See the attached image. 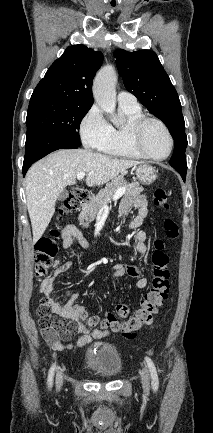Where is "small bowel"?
I'll list each match as a JSON object with an SVG mask.
<instances>
[{
	"instance_id": "small-bowel-1",
	"label": "small bowel",
	"mask_w": 213,
	"mask_h": 433,
	"mask_svg": "<svg viewBox=\"0 0 213 433\" xmlns=\"http://www.w3.org/2000/svg\"><path fill=\"white\" fill-rule=\"evenodd\" d=\"M132 208H135L137 210V214L129 220L128 226L130 229L136 230L134 234V239L136 241V251L139 254L145 255L148 252V247L146 244L147 234L144 230H141L139 228L142 226L148 214L146 196L140 194L124 199L120 206V217L122 219H125ZM62 242L63 248L65 250H69L74 242H78L83 248H88L90 246V242L85 239L82 232L75 225H67L63 229ZM71 264V261L58 263L56 268L43 279L40 286V292L44 296L43 301L45 302L47 308L52 315L63 320L74 322L77 317L75 309L70 305H62L54 297V285L57 275L69 269ZM114 271L116 275L127 274L135 278V285L138 289H143L148 284L147 278L141 276V272L136 266L116 264L114 266ZM76 298L77 294H73L72 300H75ZM73 328L74 331L71 336L76 333H81L82 335L74 343H69L67 345L61 343L60 339L62 337L59 336V334L54 329H43L42 336L54 350L63 351L82 348L90 344L95 339L108 337L111 334V332L108 330L103 331L98 329H91L86 325L82 324H73Z\"/></svg>"
}]
</instances>
